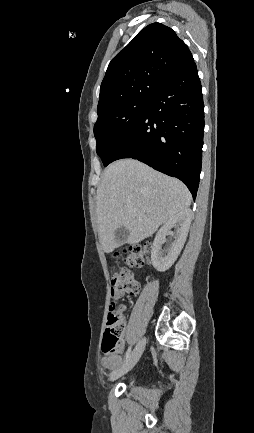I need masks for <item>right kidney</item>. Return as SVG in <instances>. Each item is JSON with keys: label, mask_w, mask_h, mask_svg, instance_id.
<instances>
[{"label": "right kidney", "mask_w": 254, "mask_h": 433, "mask_svg": "<svg viewBox=\"0 0 254 433\" xmlns=\"http://www.w3.org/2000/svg\"><path fill=\"white\" fill-rule=\"evenodd\" d=\"M191 219L192 212L187 209L169 219L156 234L151 250V261L157 271L168 270L177 259L186 241ZM173 227L176 228L175 240L169 248L163 250L162 244Z\"/></svg>", "instance_id": "right-kidney-1"}]
</instances>
